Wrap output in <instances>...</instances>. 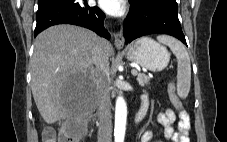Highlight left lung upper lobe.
Listing matches in <instances>:
<instances>
[{"mask_svg":"<svg viewBox=\"0 0 227 142\" xmlns=\"http://www.w3.org/2000/svg\"><path fill=\"white\" fill-rule=\"evenodd\" d=\"M149 1H152V0H129L131 5H138V6L144 5ZM157 1H161L169 5L177 6L176 0H157Z\"/></svg>","mask_w":227,"mask_h":142,"instance_id":"obj_1","label":"left lung upper lobe"}]
</instances>
